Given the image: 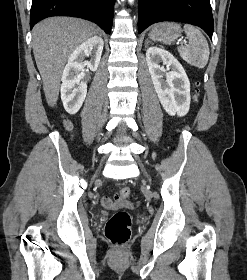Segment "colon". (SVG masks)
<instances>
[{"label": "colon", "instance_id": "5ec220e1", "mask_svg": "<svg viewBox=\"0 0 247 280\" xmlns=\"http://www.w3.org/2000/svg\"><path fill=\"white\" fill-rule=\"evenodd\" d=\"M130 195V188L122 187L116 195V198L124 202ZM131 226L132 219L130 214L125 210H119L107 221L105 225V236L112 245L123 246L131 237Z\"/></svg>", "mask_w": 247, "mask_h": 280}]
</instances>
